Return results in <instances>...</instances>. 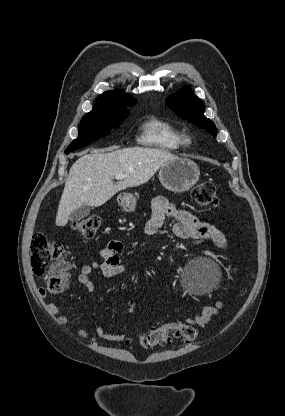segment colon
<instances>
[{"label": "colon", "mask_w": 285, "mask_h": 416, "mask_svg": "<svg viewBox=\"0 0 285 416\" xmlns=\"http://www.w3.org/2000/svg\"><path fill=\"white\" fill-rule=\"evenodd\" d=\"M194 201L201 207L217 204L216 187L212 182L197 184L192 190ZM100 226V219L87 216L73 222V230L83 239L91 240ZM31 267L34 275H47L46 288L49 292H62L70 278L72 269L64 247L41 233L33 236L31 243ZM197 337L195 328L181 322H168L147 331L138 332L134 340L143 348L166 346L174 340L192 342Z\"/></svg>", "instance_id": "colon-1"}]
</instances>
